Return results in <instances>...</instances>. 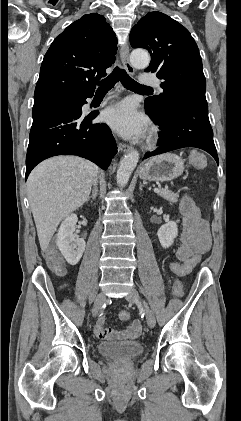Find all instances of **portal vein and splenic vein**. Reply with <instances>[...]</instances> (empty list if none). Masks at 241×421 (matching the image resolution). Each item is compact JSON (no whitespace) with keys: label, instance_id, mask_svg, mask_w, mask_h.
<instances>
[{"label":"portal vein and splenic vein","instance_id":"obj_1","mask_svg":"<svg viewBox=\"0 0 241 421\" xmlns=\"http://www.w3.org/2000/svg\"><path fill=\"white\" fill-rule=\"evenodd\" d=\"M154 192H159V189L158 188H154Z\"/></svg>","mask_w":241,"mask_h":421}]
</instances>
